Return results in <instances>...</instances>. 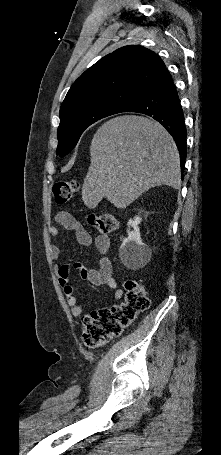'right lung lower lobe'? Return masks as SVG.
I'll return each mask as SVG.
<instances>
[{
	"label": "right lung lower lobe",
	"mask_w": 221,
	"mask_h": 455,
	"mask_svg": "<svg viewBox=\"0 0 221 455\" xmlns=\"http://www.w3.org/2000/svg\"><path fill=\"white\" fill-rule=\"evenodd\" d=\"M123 112H137L151 116L162 124L173 137L180 154L181 173L187 157V131L184 114L171 75L165 68L142 97Z\"/></svg>",
	"instance_id": "98d812e1"
}]
</instances>
